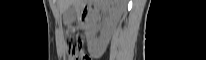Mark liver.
<instances>
[{
  "mask_svg": "<svg viewBox=\"0 0 206 60\" xmlns=\"http://www.w3.org/2000/svg\"><path fill=\"white\" fill-rule=\"evenodd\" d=\"M76 0H57V5L61 13L68 9ZM115 6L112 8L111 17L116 25L124 11L126 0H114Z\"/></svg>",
  "mask_w": 206,
  "mask_h": 60,
  "instance_id": "obj_1",
  "label": "liver"
}]
</instances>
